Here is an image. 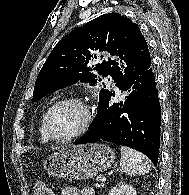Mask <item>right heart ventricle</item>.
I'll return each instance as SVG.
<instances>
[{
	"mask_svg": "<svg viewBox=\"0 0 189 195\" xmlns=\"http://www.w3.org/2000/svg\"><path fill=\"white\" fill-rule=\"evenodd\" d=\"M46 112L42 114L39 122V134H40V139L42 142H48L50 139L48 138L45 129H44V116Z\"/></svg>",
	"mask_w": 189,
	"mask_h": 195,
	"instance_id": "e07e8e85",
	"label": "right heart ventricle"
}]
</instances>
